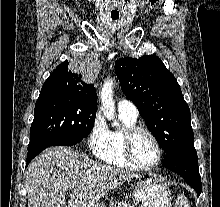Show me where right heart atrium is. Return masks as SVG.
<instances>
[{
  "label": "right heart atrium",
  "instance_id": "1",
  "mask_svg": "<svg viewBox=\"0 0 220 207\" xmlns=\"http://www.w3.org/2000/svg\"><path fill=\"white\" fill-rule=\"evenodd\" d=\"M108 128L101 114H96L92 120L88 133V146L92 152H95L104 142L107 136Z\"/></svg>",
  "mask_w": 220,
  "mask_h": 207
}]
</instances>
